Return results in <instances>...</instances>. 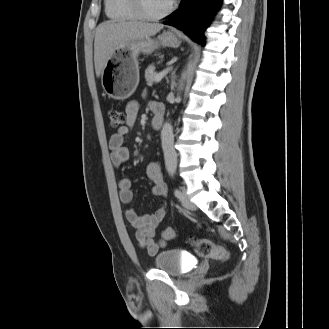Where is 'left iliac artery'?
Segmentation results:
<instances>
[{"label":"left iliac artery","mask_w":329,"mask_h":329,"mask_svg":"<svg viewBox=\"0 0 329 329\" xmlns=\"http://www.w3.org/2000/svg\"><path fill=\"white\" fill-rule=\"evenodd\" d=\"M171 175L173 176V173ZM174 195L179 198L181 196V191L179 189H175Z\"/></svg>","instance_id":"left-iliac-artery-1"}]
</instances>
